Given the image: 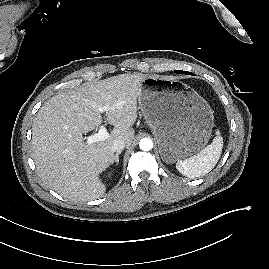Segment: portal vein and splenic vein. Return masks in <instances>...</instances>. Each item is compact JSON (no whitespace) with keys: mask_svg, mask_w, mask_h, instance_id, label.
I'll use <instances>...</instances> for the list:
<instances>
[{"mask_svg":"<svg viewBox=\"0 0 269 269\" xmlns=\"http://www.w3.org/2000/svg\"><path fill=\"white\" fill-rule=\"evenodd\" d=\"M108 109H109V107H107V106H104V107L99 106L97 108V110L100 113H104ZM108 137H109V133H108L107 129L102 126L96 134H93V135H90V136L87 137V142L92 144V143H95V142L104 141Z\"/></svg>","mask_w":269,"mask_h":269,"instance_id":"18ae733b","label":"portal vein and splenic vein"}]
</instances>
